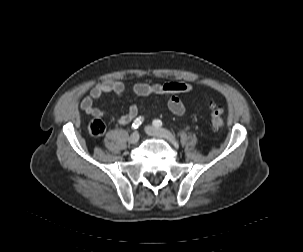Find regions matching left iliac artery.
<instances>
[{
  "mask_svg": "<svg viewBox=\"0 0 303 252\" xmlns=\"http://www.w3.org/2000/svg\"><path fill=\"white\" fill-rule=\"evenodd\" d=\"M153 125H154L155 127H161V126H162V121H161V120H158V119H155V120L153 121Z\"/></svg>",
  "mask_w": 303,
  "mask_h": 252,
  "instance_id": "obj_1",
  "label": "left iliac artery"
}]
</instances>
